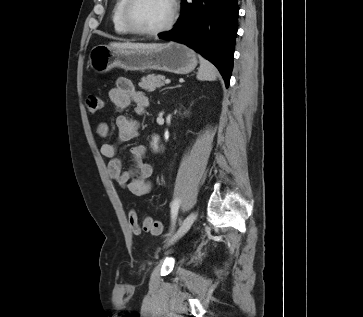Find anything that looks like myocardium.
Instances as JSON below:
<instances>
[{
    "mask_svg": "<svg viewBox=\"0 0 363 317\" xmlns=\"http://www.w3.org/2000/svg\"><path fill=\"white\" fill-rule=\"evenodd\" d=\"M136 2L137 0H126L122 9L123 23L125 27L129 30V32L139 36L153 37L161 35L171 29L178 14L177 0H169V3L171 5V12L169 18L161 27L154 30L141 29L133 22L132 9Z\"/></svg>",
    "mask_w": 363,
    "mask_h": 317,
    "instance_id": "f54148a6",
    "label": "myocardium"
}]
</instances>
